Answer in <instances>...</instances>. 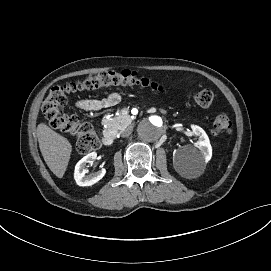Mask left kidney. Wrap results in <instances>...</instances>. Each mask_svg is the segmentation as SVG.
<instances>
[{
    "label": "left kidney",
    "instance_id": "5707ae66",
    "mask_svg": "<svg viewBox=\"0 0 271 271\" xmlns=\"http://www.w3.org/2000/svg\"><path fill=\"white\" fill-rule=\"evenodd\" d=\"M193 133L199 136L198 149L187 151L184 148L175 149L173 163L177 172L184 175H193L198 166L208 162L212 157V147L206 132L197 125H191Z\"/></svg>",
    "mask_w": 271,
    "mask_h": 271
}]
</instances>
